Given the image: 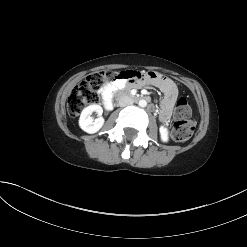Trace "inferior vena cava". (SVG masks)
I'll list each match as a JSON object with an SVG mask.
<instances>
[{"instance_id": "602c4592", "label": "inferior vena cava", "mask_w": 247, "mask_h": 247, "mask_svg": "<svg viewBox=\"0 0 247 247\" xmlns=\"http://www.w3.org/2000/svg\"><path fill=\"white\" fill-rule=\"evenodd\" d=\"M118 104L120 107H125L128 105H132L133 104V99L127 95V94H123L119 97L118 99Z\"/></svg>"}]
</instances>
